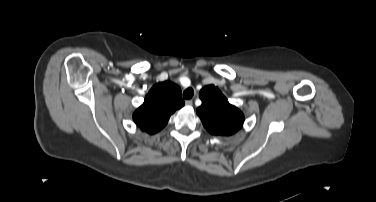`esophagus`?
I'll return each mask as SVG.
<instances>
[{
  "label": "esophagus",
  "instance_id": "obj_1",
  "mask_svg": "<svg viewBox=\"0 0 376 202\" xmlns=\"http://www.w3.org/2000/svg\"><path fill=\"white\" fill-rule=\"evenodd\" d=\"M185 105L186 106H192L193 105V101L192 100H186L185 101Z\"/></svg>",
  "mask_w": 376,
  "mask_h": 202
}]
</instances>
